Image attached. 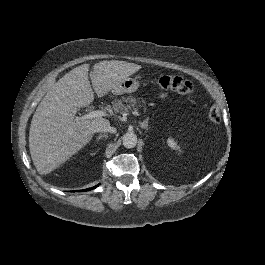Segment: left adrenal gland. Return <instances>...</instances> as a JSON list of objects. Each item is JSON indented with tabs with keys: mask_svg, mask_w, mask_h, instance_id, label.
<instances>
[{
	"mask_svg": "<svg viewBox=\"0 0 265 265\" xmlns=\"http://www.w3.org/2000/svg\"><path fill=\"white\" fill-rule=\"evenodd\" d=\"M149 117H146L142 122H139L140 127L147 128Z\"/></svg>",
	"mask_w": 265,
	"mask_h": 265,
	"instance_id": "left-adrenal-gland-1",
	"label": "left adrenal gland"
}]
</instances>
